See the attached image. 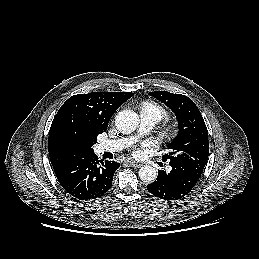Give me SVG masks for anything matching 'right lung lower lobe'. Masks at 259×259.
<instances>
[{
  "label": "right lung lower lobe",
  "instance_id": "98d812e1",
  "mask_svg": "<svg viewBox=\"0 0 259 259\" xmlns=\"http://www.w3.org/2000/svg\"><path fill=\"white\" fill-rule=\"evenodd\" d=\"M51 163L61 186L80 200L95 199L106 193L112 186L115 171L120 167L114 161L98 160L94 151L67 156Z\"/></svg>",
  "mask_w": 259,
  "mask_h": 259
}]
</instances>
